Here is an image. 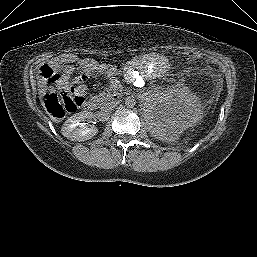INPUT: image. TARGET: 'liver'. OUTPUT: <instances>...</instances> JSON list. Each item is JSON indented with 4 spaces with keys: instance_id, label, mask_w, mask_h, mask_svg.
Masks as SVG:
<instances>
[{
    "instance_id": "6515ba94",
    "label": "liver",
    "mask_w": 257,
    "mask_h": 257,
    "mask_svg": "<svg viewBox=\"0 0 257 257\" xmlns=\"http://www.w3.org/2000/svg\"><path fill=\"white\" fill-rule=\"evenodd\" d=\"M39 84H43V82H42V81H39Z\"/></svg>"
}]
</instances>
